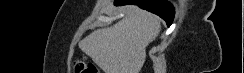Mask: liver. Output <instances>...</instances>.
<instances>
[{"label": "liver", "instance_id": "6515ba94", "mask_svg": "<svg viewBox=\"0 0 244 73\" xmlns=\"http://www.w3.org/2000/svg\"><path fill=\"white\" fill-rule=\"evenodd\" d=\"M160 30L158 16L128 6L124 19L95 30L79 42V47L104 73H139L146 59V47Z\"/></svg>", "mask_w": 244, "mask_h": 73}]
</instances>
